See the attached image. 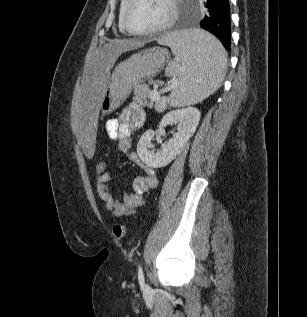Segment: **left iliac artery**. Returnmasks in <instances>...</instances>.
<instances>
[{"label": "left iliac artery", "mask_w": 307, "mask_h": 317, "mask_svg": "<svg viewBox=\"0 0 307 317\" xmlns=\"http://www.w3.org/2000/svg\"><path fill=\"white\" fill-rule=\"evenodd\" d=\"M138 280H139L140 285L143 287L144 286V274H143V269L140 265L138 267Z\"/></svg>", "instance_id": "1"}]
</instances>
